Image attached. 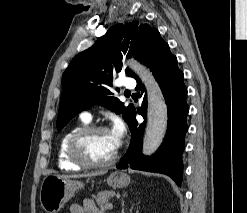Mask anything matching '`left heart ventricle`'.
Instances as JSON below:
<instances>
[{
	"mask_svg": "<svg viewBox=\"0 0 247 213\" xmlns=\"http://www.w3.org/2000/svg\"><path fill=\"white\" fill-rule=\"evenodd\" d=\"M84 153L89 160L104 162L109 160L117 148L109 131L98 132L84 142Z\"/></svg>",
	"mask_w": 247,
	"mask_h": 213,
	"instance_id": "b2bd125f",
	"label": "left heart ventricle"
}]
</instances>
